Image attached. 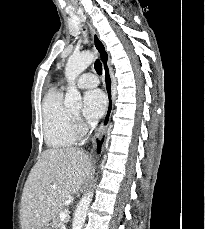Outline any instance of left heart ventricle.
<instances>
[{
    "label": "left heart ventricle",
    "instance_id": "obj_1",
    "mask_svg": "<svg viewBox=\"0 0 205 229\" xmlns=\"http://www.w3.org/2000/svg\"><path fill=\"white\" fill-rule=\"evenodd\" d=\"M78 111H74V114H77Z\"/></svg>",
    "mask_w": 205,
    "mask_h": 229
}]
</instances>
